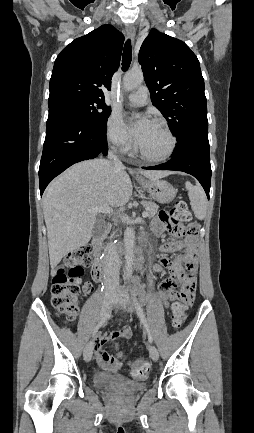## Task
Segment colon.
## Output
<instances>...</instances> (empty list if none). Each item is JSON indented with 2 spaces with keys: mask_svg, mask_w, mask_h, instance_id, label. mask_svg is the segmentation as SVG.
Listing matches in <instances>:
<instances>
[{
  "mask_svg": "<svg viewBox=\"0 0 254 433\" xmlns=\"http://www.w3.org/2000/svg\"><path fill=\"white\" fill-rule=\"evenodd\" d=\"M159 219L166 225L182 230L188 236L196 235L198 223L184 201L177 202L169 211H162ZM90 248L82 247L68 253L61 261L53 277L51 287L52 305L66 321H73L78 313L79 299L83 292L91 289L89 283L82 280L84 267L90 262ZM192 300H179L172 307V324L181 327L187 318V304ZM150 370V364L140 359L133 364L132 376L137 379L145 378Z\"/></svg>",
  "mask_w": 254,
  "mask_h": 433,
  "instance_id": "5ec220e1",
  "label": "colon"
}]
</instances>
